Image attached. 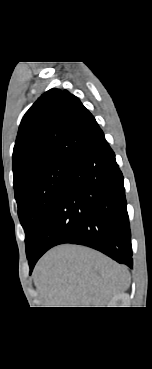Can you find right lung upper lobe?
<instances>
[{
	"label": "right lung upper lobe",
	"instance_id": "cb5924a9",
	"mask_svg": "<svg viewBox=\"0 0 152 369\" xmlns=\"http://www.w3.org/2000/svg\"><path fill=\"white\" fill-rule=\"evenodd\" d=\"M103 135L79 98L67 90H48L21 121L13 150L14 186L52 163L73 162Z\"/></svg>",
	"mask_w": 152,
	"mask_h": 369
}]
</instances>
